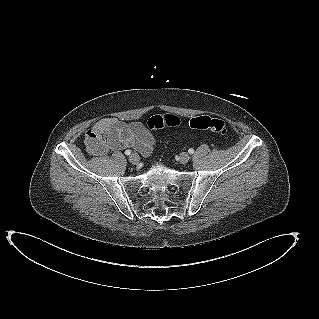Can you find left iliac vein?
<instances>
[{
    "label": "left iliac vein",
    "mask_w": 319,
    "mask_h": 319,
    "mask_svg": "<svg viewBox=\"0 0 319 319\" xmlns=\"http://www.w3.org/2000/svg\"><path fill=\"white\" fill-rule=\"evenodd\" d=\"M190 160V156L188 153L186 152H182L179 156V161L182 163V164H186L188 161Z\"/></svg>",
    "instance_id": "obj_1"
}]
</instances>
